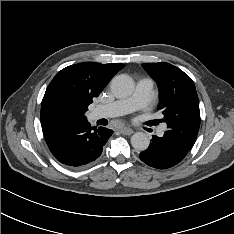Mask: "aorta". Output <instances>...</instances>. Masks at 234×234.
I'll return each mask as SVG.
<instances>
[{
    "instance_id": "1",
    "label": "aorta",
    "mask_w": 234,
    "mask_h": 234,
    "mask_svg": "<svg viewBox=\"0 0 234 234\" xmlns=\"http://www.w3.org/2000/svg\"><path fill=\"white\" fill-rule=\"evenodd\" d=\"M134 82L127 75H118L111 81V91L117 98H126L133 93ZM150 139L147 134L137 132L131 137V145L134 149L144 151L148 148Z\"/></svg>"
}]
</instances>
